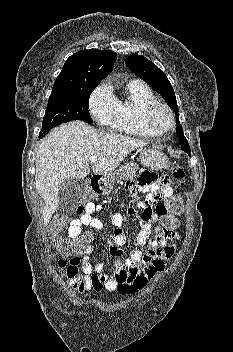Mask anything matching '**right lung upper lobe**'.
I'll list each match as a JSON object with an SVG mask.
<instances>
[{"label":"right lung upper lobe","instance_id":"cb5924a9","mask_svg":"<svg viewBox=\"0 0 233 352\" xmlns=\"http://www.w3.org/2000/svg\"><path fill=\"white\" fill-rule=\"evenodd\" d=\"M116 58L111 50H81L66 60L52 90L71 91L98 85L111 72Z\"/></svg>","mask_w":233,"mask_h":352}]
</instances>
